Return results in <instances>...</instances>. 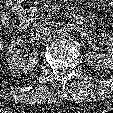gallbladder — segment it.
Returning a JSON list of instances; mask_svg holds the SVG:
<instances>
[{
  "label": "gallbladder",
  "mask_w": 113,
  "mask_h": 113,
  "mask_svg": "<svg viewBox=\"0 0 113 113\" xmlns=\"http://www.w3.org/2000/svg\"><path fill=\"white\" fill-rule=\"evenodd\" d=\"M0 2H1V0H0ZM2 10V5H0V11Z\"/></svg>",
  "instance_id": "gallbladder-1"
}]
</instances>
